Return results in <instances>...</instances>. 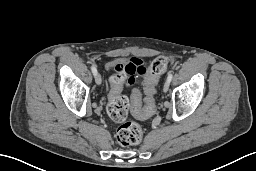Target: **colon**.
Instances as JSON below:
<instances>
[{"instance_id":"obj_1","label":"colon","mask_w":256,"mask_h":171,"mask_svg":"<svg viewBox=\"0 0 256 171\" xmlns=\"http://www.w3.org/2000/svg\"><path fill=\"white\" fill-rule=\"evenodd\" d=\"M167 66L168 63L164 57H158L151 63L145 77V109H142L141 95L138 90L133 91L131 105L129 99L121 94L123 74L117 72L113 76V88L108 98L107 113L113 121L120 123L116 130V140L121 146H131L140 142L143 134L141 126L135 122L126 121L129 109L131 108L138 117L153 112L156 93L155 86L160 75L165 73Z\"/></svg>"}]
</instances>
